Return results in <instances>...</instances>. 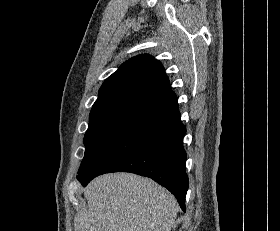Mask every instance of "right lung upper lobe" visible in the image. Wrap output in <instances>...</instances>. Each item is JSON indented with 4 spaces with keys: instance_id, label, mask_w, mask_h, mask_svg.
Here are the masks:
<instances>
[{
    "instance_id": "cb5924a9",
    "label": "right lung upper lobe",
    "mask_w": 280,
    "mask_h": 231,
    "mask_svg": "<svg viewBox=\"0 0 280 231\" xmlns=\"http://www.w3.org/2000/svg\"><path fill=\"white\" fill-rule=\"evenodd\" d=\"M177 107L162 64L142 54L123 63L104 81L90 119H125L138 124Z\"/></svg>"
}]
</instances>
